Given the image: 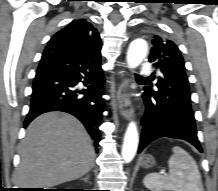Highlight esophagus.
<instances>
[{
    "label": "esophagus",
    "mask_w": 218,
    "mask_h": 191,
    "mask_svg": "<svg viewBox=\"0 0 218 191\" xmlns=\"http://www.w3.org/2000/svg\"><path fill=\"white\" fill-rule=\"evenodd\" d=\"M120 66L122 67L119 72L121 76V82L119 83L116 92V100L120 114L125 119H129L132 115V111L130 109V100L128 98L129 83L126 77L127 72L125 70V63L122 62Z\"/></svg>",
    "instance_id": "obj_1"
}]
</instances>
